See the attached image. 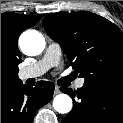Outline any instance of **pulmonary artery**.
Instances as JSON below:
<instances>
[{"mask_svg":"<svg viewBox=\"0 0 123 123\" xmlns=\"http://www.w3.org/2000/svg\"><path fill=\"white\" fill-rule=\"evenodd\" d=\"M61 57V47L56 42H51L43 55L36 63L22 69L19 72V78L26 80L43 75L50 68L58 66ZM84 85V79L80 78L76 81V87L81 88Z\"/></svg>","mask_w":123,"mask_h":123,"instance_id":"obj_1","label":"pulmonary artery"}]
</instances>
